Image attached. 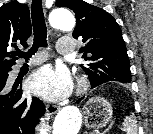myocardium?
<instances>
[{
	"instance_id": "obj_1",
	"label": "myocardium",
	"mask_w": 153,
	"mask_h": 134,
	"mask_svg": "<svg viewBox=\"0 0 153 134\" xmlns=\"http://www.w3.org/2000/svg\"><path fill=\"white\" fill-rule=\"evenodd\" d=\"M88 87V80L85 77H81L77 84V92L83 93Z\"/></svg>"
}]
</instances>
